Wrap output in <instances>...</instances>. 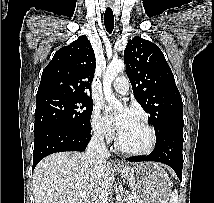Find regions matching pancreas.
Segmentation results:
<instances>
[{
    "instance_id": "obj_1",
    "label": "pancreas",
    "mask_w": 214,
    "mask_h": 203,
    "mask_svg": "<svg viewBox=\"0 0 214 203\" xmlns=\"http://www.w3.org/2000/svg\"><path fill=\"white\" fill-rule=\"evenodd\" d=\"M130 203H138L137 197L134 193L130 195Z\"/></svg>"
}]
</instances>
